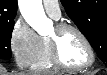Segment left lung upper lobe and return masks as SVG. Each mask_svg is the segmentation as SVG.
<instances>
[{"label":"left lung upper lobe","instance_id":"5c2ea615","mask_svg":"<svg viewBox=\"0 0 107 75\" xmlns=\"http://www.w3.org/2000/svg\"><path fill=\"white\" fill-rule=\"evenodd\" d=\"M61 3L107 65V0H61Z\"/></svg>","mask_w":107,"mask_h":75}]
</instances>
